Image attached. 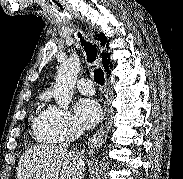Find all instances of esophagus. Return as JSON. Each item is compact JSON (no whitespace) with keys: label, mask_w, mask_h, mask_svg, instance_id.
Returning a JSON list of instances; mask_svg holds the SVG:
<instances>
[{"label":"esophagus","mask_w":183,"mask_h":179,"mask_svg":"<svg viewBox=\"0 0 183 179\" xmlns=\"http://www.w3.org/2000/svg\"><path fill=\"white\" fill-rule=\"evenodd\" d=\"M112 110L107 107L101 119L100 129L89 139L90 146H99L104 143L112 126Z\"/></svg>","instance_id":"obj_1"}]
</instances>
